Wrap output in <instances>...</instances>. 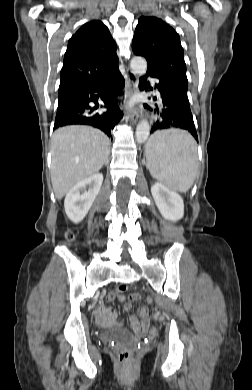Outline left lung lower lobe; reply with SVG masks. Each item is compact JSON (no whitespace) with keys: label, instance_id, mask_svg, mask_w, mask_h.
Here are the masks:
<instances>
[{"label":"left lung lower lobe","instance_id":"obj_1","mask_svg":"<svg viewBox=\"0 0 252 390\" xmlns=\"http://www.w3.org/2000/svg\"><path fill=\"white\" fill-rule=\"evenodd\" d=\"M147 75L159 80L155 86L160 92L161 103L160 108L155 110L161 118L154 123L151 133L160 129L176 127L188 130L198 141L187 96L188 88L167 77L158 76L151 72H147ZM149 86L150 83L146 80L141 81L142 89H147ZM153 99L157 100L156 97H153ZM145 106L147 107V105ZM148 109L152 111V108L148 107Z\"/></svg>","mask_w":252,"mask_h":390}]
</instances>
